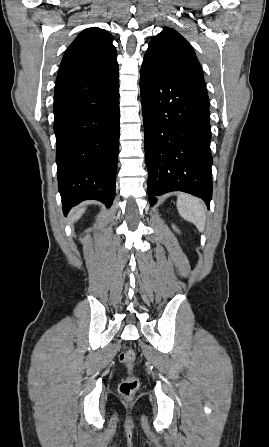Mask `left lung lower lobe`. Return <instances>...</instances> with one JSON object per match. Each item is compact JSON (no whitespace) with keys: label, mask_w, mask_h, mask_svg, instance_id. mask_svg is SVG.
Masks as SVG:
<instances>
[{"label":"left lung lower lobe","mask_w":269,"mask_h":447,"mask_svg":"<svg viewBox=\"0 0 269 447\" xmlns=\"http://www.w3.org/2000/svg\"><path fill=\"white\" fill-rule=\"evenodd\" d=\"M140 94L145 128L148 194L183 191L212 197L209 99L200 79L144 57Z\"/></svg>","instance_id":"1"}]
</instances>
